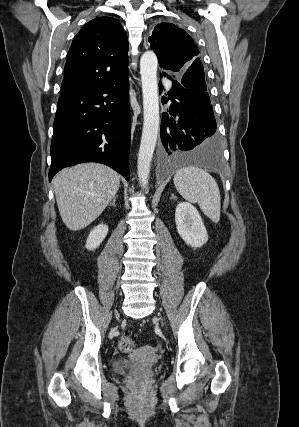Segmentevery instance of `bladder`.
<instances>
[{
	"mask_svg": "<svg viewBox=\"0 0 299 427\" xmlns=\"http://www.w3.org/2000/svg\"><path fill=\"white\" fill-rule=\"evenodd\" d=\"M134 366V363L126 357H116L111 363L112 371L115 374H123Z\"/></svg>",
	"mask_w": 299,
	"mask_h": 427,
	"instance_id": "bladder-1",
	"label": "bladder"
}]
</instances>
